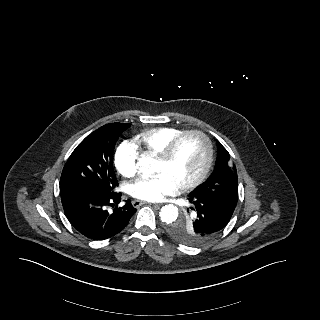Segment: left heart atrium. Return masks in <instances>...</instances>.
I'll return each instance as SVG.
<instances>
[{
  "label": "left heart atrium",
  "mask_w": 320,
  "mask_h": 320,
  "mask_svg": "<svg viewBox=\"0 0 320 320\" xmlns=\"http://www.w3.org/2000/svg\"><path fill=\"white\" fill-rule=\"evenodd\" d=\"M178 191V186L166 174H158L154 177H141L129 186L132 197L144 201H159L167 195H173Z\"/></svg>",
  "instance_id": "1"
}]
</instances>
